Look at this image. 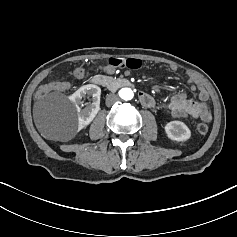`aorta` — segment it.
I'll return each instance as SVG.
<instances>
[{
    "label": "aorta",
    "mask_w": 237,
    "mask_h": 237,
    "mask_svg": "<svg viewBox=\"0 0 237 237\" xmlns=\"http://www.w3.org/2000/svg\"><path fill=\"white\" fill-rule=\"evenodd\" d=\"M119 96H120V98H122L123 100L128 101V100H131V99L133 98L134 93H133V91H132L131 88L125 87V88L120 89V91H119Z\"/></svg>",
    "instance_id": "obj_1"
}]
</instances>
